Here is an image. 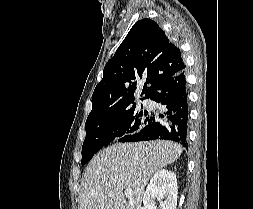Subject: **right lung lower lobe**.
<instances>
[{"mask_svg": "<svg viewBox=\"0 0 253 209\" xmlns=\"http://www.w3.org/2000/svg\"><path fill=\"white\" fill-rule=\"evenodd\" d=\"M165 108L163 114L151 115L148 122L124 142L172 140L187 148L188 102L185 72L167 80L150 98Z\"/></svg>", "mask_w": 253, "mask_h": 209, "instance_id": "obj_1", "label": "right lung lower lobe"}]
</instances>
